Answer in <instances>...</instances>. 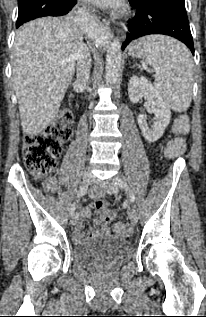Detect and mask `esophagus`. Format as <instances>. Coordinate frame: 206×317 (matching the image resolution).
I'll use <instances>...</instances> for the list:
<instances>
[{
  "label": "esophagus",
  "mask_w": 206,
  "mask_h": 317,
  "mask_svg": "<svg viewBox=\"0 0 206 317\" xmlns=\"http://www.w3.org/2000/svg\"><path fill=\"white\" fill-rule=\"evenodd\" d=\"M100 36L103 41L112 38V32L107 23L100 22Z\"/></svg>",
  "instance_id": "1"
}]
</instances>
